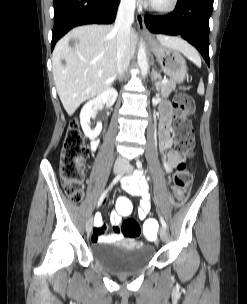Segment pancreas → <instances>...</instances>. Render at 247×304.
Segmentation results:
<instances>
[{
	"label": "pancreas",
	"instance_id": "cf45deb5",
	"mask_svg": "<svg viewBox=\"0 0 247 304\" xmlns=\"http://www.w3.org/2000/svg\"><path fill=\"white\" fill-rule=\"evenodd\" d=\"M176 88V83L174 81H167L165 84L160 86L159 91L161 92L162 97H168V95L174 91ZM180 89L185 90L184 87H180Z\"/></svg>",
	"mask_w": 247,
	"mask_h": 304
}]
</instances>
